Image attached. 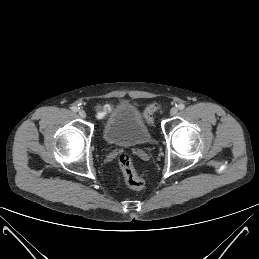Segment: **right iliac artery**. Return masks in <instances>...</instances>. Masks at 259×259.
<instances>
[{
  "instance_id": "obj_1",
  "label": "right iliac artery",
  "mask_w": 259,
  "mask_h": 259,
  "mask_svg": "<svg viewBox=\"0 0 259 259\" xmlns=\"http://www.w3.org/2000/svg\"><path fill=\"white\" fill-rule=\"evenodd\" d=\"M78 109H79V108H78V107H76V106H72V107H71V110H72L73 112H77V111H78Z\"/></svg>"
}]
</instances>
